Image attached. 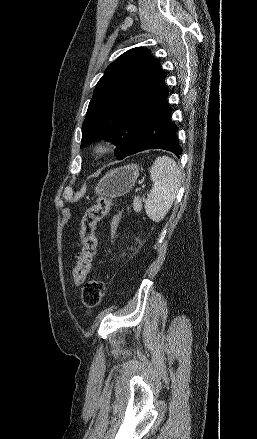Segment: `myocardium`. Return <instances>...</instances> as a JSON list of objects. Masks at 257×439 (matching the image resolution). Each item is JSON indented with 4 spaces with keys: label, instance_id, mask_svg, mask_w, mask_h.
Returning a JSON list of instances; mask_svg holds the SVG:
<instances>
[{
    "label": "myocardium",
    "instance_id": "obj_1",
    "mask_svg": "<svg viewBox=\"0 0 257 439\" xmlns=\"http://www.w3.org/2000/svg\"><path fill=\"white\" fill-rule=\"evenodd\" d=\"M114 148V143L109 138H101L96 141L93 146V153L96 156H105L110 153Z\"/></svg>",
    "mask_w": 257,
    "mask_h": 439
}]
</instances>
